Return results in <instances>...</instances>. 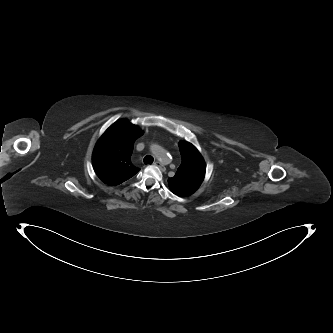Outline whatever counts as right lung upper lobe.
Instances as JSON below:
<instances>
[{
	"mask_svg": "<svg viewBox=\"0 0 333 333\" xmlns=\"http://www.w3.org/2000/svg\"><path fill=\"white\" fill-rule=\"evenodd\" d=\"M142 135L138 126L125 119L116 121L105 131L92 155L94 171L102 182L117 186L139 171L130 157L134 142Z\"/></svg>",
	"mask_w": 333,
	"mask_h": 333,
	"instance_id": "obj_1",
	"label": "right lung upper lobe"
}]
</instances>
